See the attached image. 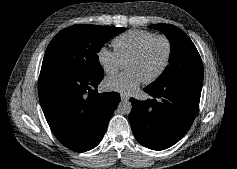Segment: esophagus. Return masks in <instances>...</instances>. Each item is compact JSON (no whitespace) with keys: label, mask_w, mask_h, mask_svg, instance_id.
I'll list each match as a JSON object with an SVG mask.
<instances>
[{"label":"esophagus","mask_w":237,"mask_h":169,"mask_svg":"<svg viewBox=\"0 0 237 169\" xmlns=\"http://www.w3.org/2000/svg\"><path fill=\"white\" fill-rule=\"evenodd\" d=\"M120 98L121 101H128L130 99V96L126 94H121Z\"/></svg>","instance_id":"obj_1"}]
</instances>
